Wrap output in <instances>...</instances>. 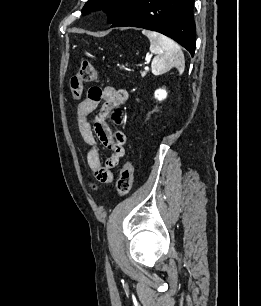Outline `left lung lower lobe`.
Instances as JSON below:
<instances>
[{"label": "left lung lower lobe", "mask_w": 261, "mask_h": 306, "mask_svg": "<svg viewBox=\"0 0 261 306\" xmlns=\"http://www.w3.org/2000/svg\"><path fill=\"white\" fill-rule=\"evenodd\" d=\"M194 0H134L111 27H139L171 37L193 56L195 51Z\"/></svg>", "instance_id": "0a47b994"}]
</instances>
